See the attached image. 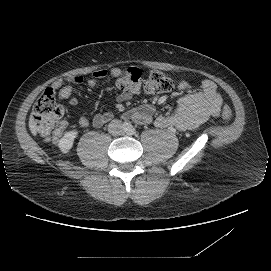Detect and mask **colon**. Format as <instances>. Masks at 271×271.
Returning <instances> with one entry per match:
<instances>
[{
  "label": "colon",
  "mask_w": 271,
  "mask_h": 271,
  "mask_svg": "<svg viewBox=\"0 0 271 271\" xmlns=\"http://www.w3.org/2000/svg\"><path fill=\"white\" fill-rule=\"evenodd\" d=\"M117 85L121 91L145 92L149 95L168 92L173 89V82L161 71L153 70L143 78L141 70L137 67L128 68L119 78ZM220 113L225 121L230 122L232 120L233 114L228 105L222 104ZM63 115V107L55 101V90L48 87L34 104L31 123L37 132L48 136L64 128Z\"/></svg>",
  "instance_id": "1"
}]
</instances>
